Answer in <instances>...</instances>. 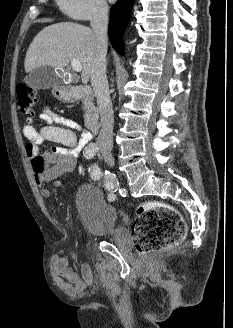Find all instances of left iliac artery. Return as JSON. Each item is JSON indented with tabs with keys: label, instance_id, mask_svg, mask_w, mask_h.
<instances>
[{
	"label": "left iliac artery",
	"instance_id": "left-iliac-artery-1",
	"mask_svg": "<svg viewBox=\"0 0 233 328\" xmlns=\"http://www.w3.org/2000/svg\"><path fill=\"white\" fill-rule=\"evenodd\" d=\"M90 174L94 180H99L101 178V169L95 165L92 167Z\"/></svg>",
	"mask_w": 233,
	"mask_h": 328
}]
</instances>
